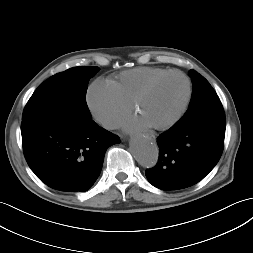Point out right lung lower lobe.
Instances as JSON below:
<instances>
[{"instance_id": "1", "label": "right lung lower lobe", "mask_w": 253, "mask_h": 253, "mask_svg": "<svg viewBox=\"0 0 253 253\" xmlns=\"http://www.w3.org/2000/svg\"><path fill=\"white\" fill-rule=\"evenodd\" d=\"M23 151L32 171L49 187L87 191L98 178L106 150L119 137L91 117L60 115L21 131Z\"/></svg>"}]
</instances>
